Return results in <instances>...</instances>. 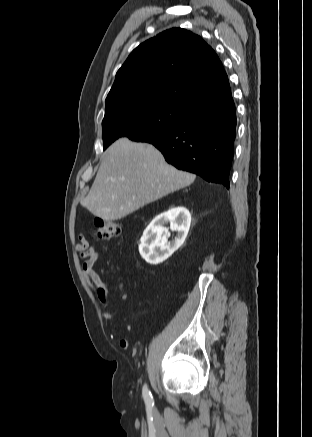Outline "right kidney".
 Here are the masks:
<instances>
[{
    "label": "right kidney",
    "instance_id": "obj_1",
    "mask_svg": "<svg viewBox=\"0 0 312 437\" xmlns=\"http://www.w3.org/2000/svg\"><path fill=\"white\" fill-rule=\"evenodd\" d=\"M177 232L168 241V228ZM191 224V215L184 207L172 208L157 216L146 228L140 240L139 252L150 264H160L168 259L184 243Z\"/></svg>",
    "mask_w": 312,
    "mask_h": 437
}]
</instances>
